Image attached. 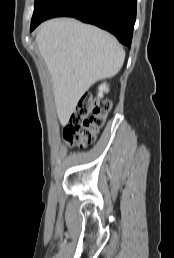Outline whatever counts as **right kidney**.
<instances>
[{"instance_id":"right-kidney-1","label":"right kidney","mask_w":174,"mask_h":258,"mask_svg":"<svg viewBox=\"0 0 174 258\" xmlns=\"http://www.w3.org/2000/svg\"><path fill=\"white\" fill-rule=\"evenodd\" d=\"M104 92L106 93L108 92V86L106 85V83H103L102 85L99 86L98 97L102 98Z\"/></svg>"}]
</instances>
